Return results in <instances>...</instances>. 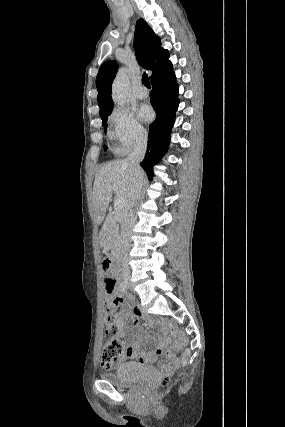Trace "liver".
<instances>
[{
	"label": "liver",
	"mask_w": 285,
	"mask_h": 427,
	"mask_svg": "<svg viewBox=\"0 0 285 427\" xmlns=\"http://www.w3.org/2000/svg\"><path fill=\"white\" fill-rule=\"evenodd\" d=\"M117 190H113V186ZM134 186V175L126 160H116L103 165L95 175L93 185V207L95 221L98 225L104 224L99 233L100 239L105 235V231L111 223L112 216L107 215L106 210L112 198V192H116L117 197L124 201L125 209L129 203Z\"/></svg>",
	"instance_id": "obj_1"
}]
</instances>
